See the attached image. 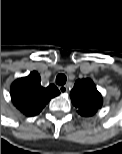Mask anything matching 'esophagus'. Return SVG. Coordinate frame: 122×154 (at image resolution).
<instances>
[{"mask_svg":"<svg viewBox=\"0 0 122 154\" xmlns=\"http://www.w3.org/2000/svg\"><path fill=\"white\" fill-rule=\"evenodd\" d=\"M59 90H60L61 93H67L68 92L67 86H65V85L60 86Z\"/></svg>","mask_w":122,"mask_h":154,"instance_id":"esophagus-1","label":"esophagus"}]
</instances>
